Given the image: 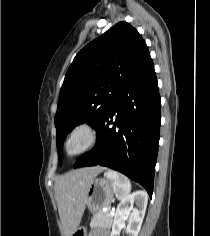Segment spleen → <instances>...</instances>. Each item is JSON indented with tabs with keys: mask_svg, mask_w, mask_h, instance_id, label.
Returning <instances> with one entry per match:
<instances>
[{
	"mask_svg": "<svg viewBox=\"0 0 210 236\" xmlns=\"http://www.w3.org/2000/svg\"><path fill=\"white\" fill-rule=\"evenodd\" d=\"M104 176L112 180L114 191L119 199L123 200L129 195L131 183L126 176L112 170L107 171Z\"/></svg>",
	"mask_w": 210,
	"mask_h": 236,
	"instance_id": "spleen-1",
	"label": "spleen"
}]
</instances>
